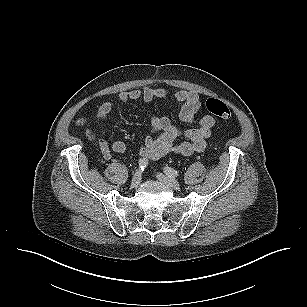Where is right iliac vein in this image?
Masks as SVG:
<instances>
[{
  "mask_svg": "<svg viewBox=\"0 0 307 307\" xmlns=\"http://www.w3.org/2000/svg\"><path fill=\"white\" fill-rule=\"evenodd\" d=\"M141 182V172L137 171L131 181V187L132 188H137L140 185Z\"/></svg>",
  "mask_w": 307,
  "mask_h": 307,
  "instance_id": "63e3f726",
  "label": "right iliac vein"
}]
</instances>
